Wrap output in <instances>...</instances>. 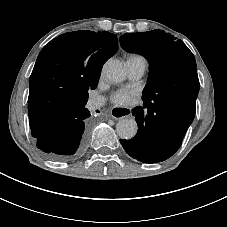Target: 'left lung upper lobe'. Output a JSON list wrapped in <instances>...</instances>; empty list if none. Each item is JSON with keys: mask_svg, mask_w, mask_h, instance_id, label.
Here are the masks:
<instances>
[{"mask_svg": "<svg viewBox=\"0 0 227 227\" xmlns=\"http://www.w3.org/2000/svg\"><path fill=\"white\" fill-rule=\"evenodd\" d=\"M121 46L149 62L142 100L168 98L187 84L199 83L194 55L180 40L163 30L124 34Z\"/></svg>", "mask_w": 227, "mask_h": 227, "instance_id": "1", "label": "left lung upper lobe"}]
</instances>
